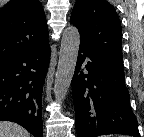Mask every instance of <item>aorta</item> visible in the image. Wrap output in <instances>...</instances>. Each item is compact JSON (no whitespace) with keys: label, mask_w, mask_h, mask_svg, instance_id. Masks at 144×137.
I'll list each match as a JSON object with an SVG mask.
<instances>
[{"label":"aorta","mask_w":144,"mask_h":137,"mask_svg":"<svg viewBox=\"0 0 144 137\" xmlns=\"http://www.w3.org/2000/svg\"><path fill=\"white\" fill-rule=\"evenodd\" d=\"M79 46L80 35L78 29L74 26L67 27L61 39L59 61L54 81V94L58 102L65 99L71 85Z\"/></svg>","instance_id":"762f6f07"}]
</instances>
